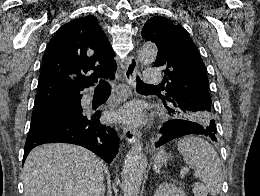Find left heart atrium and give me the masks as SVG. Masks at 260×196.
Listing matches in <instances>:
<instances>
[{"label": "left heart atrium", "instance_id": "39dd6f15", "mask_svg": "<svg viewBox=\"0 0 260 196\" xmlns=\"http://www.w3.org/2000/svg\"><path fill=\"white\" fill-rule=\"evenodd\" d=\"M117 117L131 124H139L143 120L141 106L137 102L125 105L118 113Z\"/></svg>", "mask_w": 260, "mask_h": 196}]
</instances>
